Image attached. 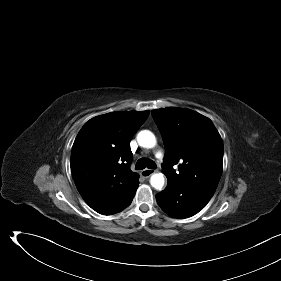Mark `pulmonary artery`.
Masks as SVG:
<instances>
[{"label":"pulmonary artery","mask_w":281,"mask_h":281,"mask_svg":"<svg viewBox=\"0 0 281 281\" xmlns=\"http://www.w3.org/2000/svg\"><path fill=\"white\" fill-rule=\"evenodd\" d=\"M158 157H161V155H160V154H158Z\"/></svg>","instance_id":"pulmonary-artery-1"}]
</instances>
